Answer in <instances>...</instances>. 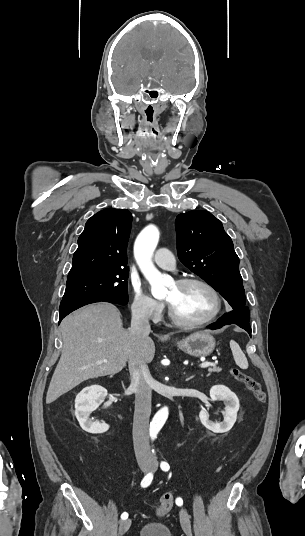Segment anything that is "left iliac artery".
Segmentation results:
<instances>
[{"mask_svg":"<svg viewBox=\"0 0 305 536\" xmlns=\"http://www.w3.org/2000/svg\"><path fill=\"white\" fill-rule=\"evenodd\" d=\"M160 467H161V469L163 471H168L169 468H170L169 464L167 462H164V461L161 462ZM176 504L181 506L183 504V500L181 498H177L176 499Z\"/></svg>","mask_w":305,"mask_h":536,"instance_id":"44dca946","label":"left iliac artery"}]
</instances>
